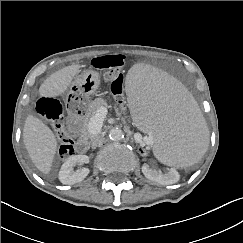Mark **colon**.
Instances as JSON below:
<instances>
[{
  "label": "colon",
  "mask_w": 243,
  "mask_h": 243,
  "mask_svg": "<svg viewBox=\"0 0 243 243\" xmlns=\"http://www.w3.org/2000/svg\"><path fill=\"white\" fill-rule=\"evenodd\" d=\"M126 63L123 55H107L94 58L90 67L104 72V78L110 82L111 90L117 100V112L124 128H132L133 120L130 119L127 103L123 98L124 82L122 70ZM38 112L47 119L59 135V156L67 158L75 152V141L65 129V120L62 104L55 98L44 96L37 102Z\"/></svg>",
  "instance_id": "obj_1"
}]
</instances>
